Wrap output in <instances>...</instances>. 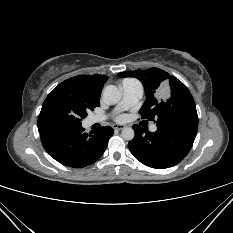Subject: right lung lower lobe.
<instances>
[{
    "label": "right lung lower lobe",
    "mask_w": 233,
    "mask_h": 233,
    "mask_svg": "<svg viewBox=\"0 0 233 233\" xmlns=\"http://www.w3.org/2000/svg\"><path fill=\"white\" fill-rule=\"evenodd\" d=\"M43 147L59 163L69 167H85L98 160L113 135L109 126L84 132L82 126L69 130L44 129L39 131Z\"/></svg>",
    "instance_id": "98d812e1"
}]
</instances>
